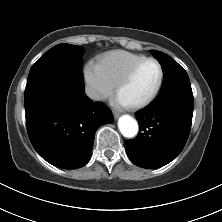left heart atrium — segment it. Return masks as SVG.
Listing matches in <instances>:
<instances>
[{"mask_svg":"<svg viewBox=\"0 0 222 222\" xmlns=\"http://www.w3.org/2000/svg\"><path fill=\"white\" fill-rule=\"evenodd\" d=\"M113 104L118 108L128 107L130 104L119 94L114 98Z\"/></svg>","mask_w":222,"mask_h":222,"instance_id":"obj_1","label":"left heart atrium"}]
</instances>
